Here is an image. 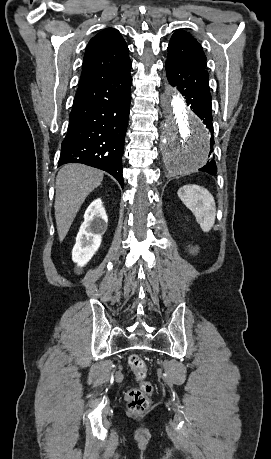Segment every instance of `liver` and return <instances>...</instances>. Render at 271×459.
Wrapping results in <instances>:
<instances>
[{
	"mask_svg": "<svg viewBox=\"0 0 271 459\" xmlns=\"http://www.w3.org/2000/svg\"><path fill=\"white\" fill-rule=\"evenodd\" d=\"M102 180L101 170L83 164H66L58 172L54 208L59 241H63L68 233L85 198L100 186Z\"/></svg>",
	"mask_w": 271,
	"mask_h": 459,
	"instance_id": "obj_1",
	"label": "liver"
}]
</instances>
